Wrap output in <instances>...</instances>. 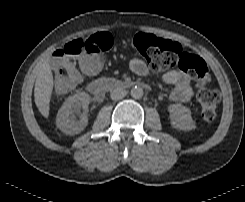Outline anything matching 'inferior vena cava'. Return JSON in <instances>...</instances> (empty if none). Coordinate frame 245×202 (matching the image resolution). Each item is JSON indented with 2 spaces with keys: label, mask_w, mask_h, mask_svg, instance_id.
Instances as JSON below:
<instances>
[{
  "label": "inferior vena cava",
  "mask_w": 245,
  "mask_h": 202,
  "mask_svg": "<svg viewBox=\"0 0 245 202\" xmlns=\"http://www.w3.org/2000/svg\"><path fill=\"white\" fill-rule=\"evenodd\" d=\"M127 92L123 88H115L111 91V99L112 100H120L126 96Z\"/></svg>",
  "instance_id": "inferior-vena-cava-1"
}]
</instances>
